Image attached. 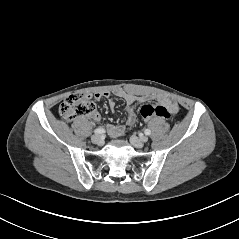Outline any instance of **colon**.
Segmentation results:
<instances>
[{"instance_id":"obj_1","label":"colon","mask_w":239,"mask_h":239,"mask_svg":"<svg viewBox=\"0 0 239 239\" xmlns=\"http://www.w3.org/2000/svg\"><path fill=\"white\" fill-rule=\"evenodd\" d=\"M60 115L66 120H72L78 116H92L95 114V105L90 96L86 94H71L64 99L59 107ZM141 115L145 119L170 117L168 109L156 103H148L142 106Z\"/></svg>"}]
</instances>
